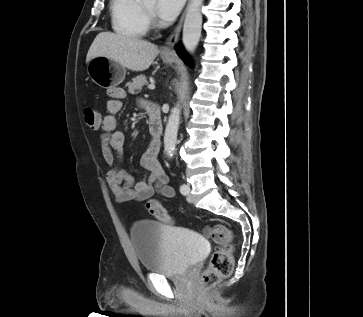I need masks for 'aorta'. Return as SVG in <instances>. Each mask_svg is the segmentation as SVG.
Wrapping results in <instances>:
<instances>
[{"label": "aorta", "mask_w": 363, "mask_h": 317, "mask_svg": "<svg viewBox=\"0 0 363 317\" xmlns=\"http://www.w3.org/2000/svg\"><path fill=\"white\" fill-rule=\"evenodd\" d=\"M154 1V0H147ZM203 0H190L183 26V45L188 53H193L196 49L202 29L201 6ZM181 107L176 105L168 118L164 134V151L168 157H172L177 142L178 128L180 124Z\"/></svg>", "instance_id": "aorta-1"}]
</instances>
